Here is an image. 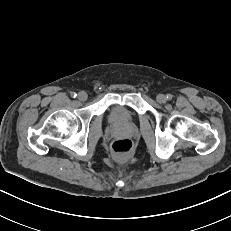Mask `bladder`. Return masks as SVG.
Segmentation results:
<instances>
[{"instance_id": "obj_1", "label": "bladder", "mask_w": 231, "mask_h": 231, "mask_svg": "<svg viewBox=\"0 0 231 231\" xmlns=\"http://www.w3.org/2000/svg\"><path fill=\"white\" fill-rule=\"evenodd\" d=\"M109 119L114 123H123L128 119V113L125 108L116 105L109 112Z\"/></svg>"}]
</instances>
